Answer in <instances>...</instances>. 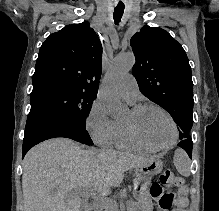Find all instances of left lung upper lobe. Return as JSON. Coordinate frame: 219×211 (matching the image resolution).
Returning a JSON list of instances; mask_svg holds the SVG:
<instances>
[{
  "label": "left lung upper lobe",
  "mask_w": 219,
  "mask_h": 211,
  "mask_svg": "<svg viewBox=\"0 0 219 211\" xmlns=\"http://www.w3.org/2000/svg\"><path fill=\"white\" fill-rule=\"evenodd\" d=\"M130 45L136 57L133 75L141 93L163 107L180 127V140L193 125V82L183 47L167 31L144 26Z\"/></svg>",
  "instance_id": "left-lung-upper-lobe-1"
}]
</instances>
